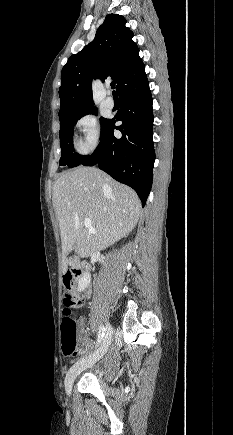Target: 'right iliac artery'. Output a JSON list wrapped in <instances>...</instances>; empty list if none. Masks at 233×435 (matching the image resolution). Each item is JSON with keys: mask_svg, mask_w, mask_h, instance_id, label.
Returning a JSON list of instances; mask_svg holds the SVG:
<instances>
[{"mask_svg": "<svg viewBox=\"0 0 233 435\" xmlns=\"http://www.w3.org/2000/svg\"><path fill=\"white\" fill-rule=\"evenodd\" d=\"M104 335H105V327L101 326L98 332L97 346H99V344L101 343Z\"/></svg>", "mask_w": 233, "mask_h": 435, "instance_id": "right-iliac-artery-1", "label": "right iliac artery"}]
</instances>
